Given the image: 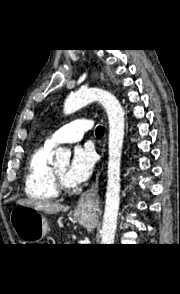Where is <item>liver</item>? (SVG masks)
Masks as SVG:
<instances>
[{
  "mask_svg": "<svg viewBox=\"0 0 180 294\" xmlns=\"http://www.w3.org/2000/svg\"><path fill=\"white\" fill-rule=\"evenodd\" d=\"M18 205H26L32 207L36 211H41L46 214H56L60 211H68L69 207L51 201H38L33 199H20L17 201Z\"/></svg>",
  "mask_w": 180,
  "mask_h": 294,
  "instance_id": "liver-1",
  "label": "liver"
}]
</instances>
